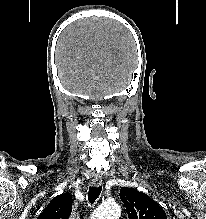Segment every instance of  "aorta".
Returning a JSON list of instances; mask_svg holds the SVG:
<instances>
[{"label": "aorta", "mask_w": 206, "mask_h": 219, "mask_svg": "<svg viewBox=\"0 0 206 219\" xmlns=\"http://www.w3.org/2000/svg\"><path fill=\"white\" fill-rule=\"evenodd\" d=\"M120 206L117 203H105L99 206L92 214V219H118Z\"/></svg>", "instance_id": "762f6f07"}]
</instances>
